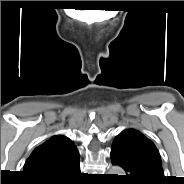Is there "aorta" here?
Here are the masks:
<instances>
[{"label": "aorta", "instance_id": "762f6f07", "mask_svg": "<svg viewBox=\"0 0 184 184\" xmlns=\"http://www.w3.org/2000/svg\"><path fill=\"white\" fill-rule=\"evenodd\" d=\"M121 173H123V170L118 166H114L110 169V174L122 175Z\"/></svg>", "mask_w": 184, "mask_h": 184}]
</instances>
